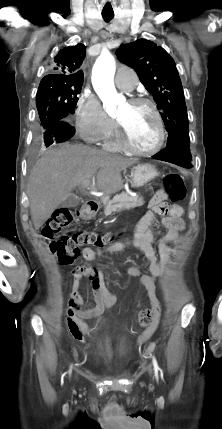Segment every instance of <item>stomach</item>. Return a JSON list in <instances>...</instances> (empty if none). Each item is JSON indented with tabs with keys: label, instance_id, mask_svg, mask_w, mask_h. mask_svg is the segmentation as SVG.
I'll use <instances>...</instances> for the list:
<instances>
[{
	"label": "stomach",
	"instance_id": "obj_1",
	"mask_svg": "<svg viewBox=\"0 0 222 429\" xmlns=\"http://www.w3.org/2000/svg\"><path fill=\"white\" fill-rule=\"evenodd\" d=\"M158 176V171L151 164H141L132 169L131 185L134 188H140Z\"/></svg>",
	"mask_w": 222,
	"mask_h": 429
}]
</instances>
